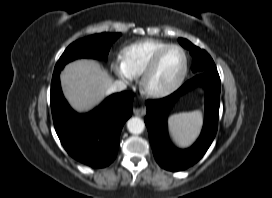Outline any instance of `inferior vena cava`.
Returning <instances> with one entry per match:
<instances>
[{"label":"inferior vena cava","mask_w":272,"mask_h":198,"mask_svg":"<svg viewBox=\"0 0 272 198\" xmlns=\"http://www.w3.org/2000/svg\"><path fill=\"white\" fill-rule=\"evenodd\" d=\"M126 88H127V86L123 81L117 80L114 83H112V85L109 87L107 93L121 92V91L125 90Z\"/></svg>","instance_id":"602c4592"}]
</instances>
